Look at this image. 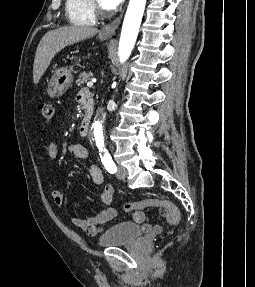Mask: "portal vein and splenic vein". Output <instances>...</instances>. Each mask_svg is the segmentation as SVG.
<instances>
[{
	"mask_svg": "<svg viewBox=\"0 0 255 287\" xmlns=\"http://www.w3.org/2000/svg\"><path fill=\"white\" fill-rule=\"evenodd\" d=\"M94 82H96L95 78H94V80H92V82H88V84H87L88 88H92Z\"/></svg>",
	"mask_w": 255,
	"mask_h": 287,
	"instance_id": "portal-vein-and-splenic-vein-1",
	"label": "portal vein and splenic vein"
}]
</instances>
